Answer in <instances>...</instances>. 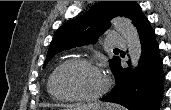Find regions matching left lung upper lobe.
<instances>
[{
	"label": "left lung upper lobe",
	"mask_w": 171,
	"mask_h": 110,
	"mask_svg": "<svg viewBox=\"0 0 171 110\" xmlns=\"http://www.w3.org/2000/svg\"><path fill=\"white\" fill-rule=\"evenodd\" d=\"M115 16L131 19L136 27L145 17L135 1H101L84 15L68 21L56 31L43 67L63 50L94 42L110 26L109 20ZM119 62L117 56L109 61L113 73Z\"/></svg>",
	"instance_id": "1"
}]
</instances>
